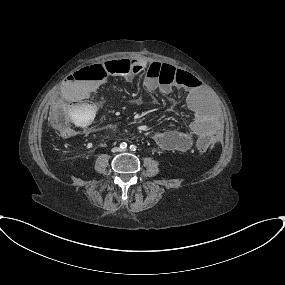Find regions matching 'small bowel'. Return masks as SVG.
Listing matches in <instances>:
<instances>
[{
    "label": "small bowel",
    "instance_id": "small-bowel-1",
    "mask_svg": "<svg viewBox=\"0 0 285 285\" xmlns=\"http://www.w3.org/2000/svg\"><path fill=\"white\" fill-rule=\"evenodd\" d=\"M138 67V72L149 71L156 62L153 60L132 61ZM184 83L182 88L185 94V107L191 114L190 130H166L159 131L153 135V141L165 150H188L193 146L191 134L197 136L195 145L201 149V138L206 134H218V121L211 116L204 104V90L196 82L195 75L188 71L182 72ZM102 80H80L77 77L69 76L61 88L63 99L71 103V109L81 118H87L93 109L90 96L101 86ZM144 87L149 91L160 90L163 93H170L172 88L160 85L159 82L146 76L143 80ZM75 123L79 125V119L75 116ZM70 133L69 136H73ZM66 136V135H65Z\"/></svg>",
    "mask_w": 285,
    "mask_h": 285
}]
</instances>
